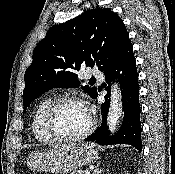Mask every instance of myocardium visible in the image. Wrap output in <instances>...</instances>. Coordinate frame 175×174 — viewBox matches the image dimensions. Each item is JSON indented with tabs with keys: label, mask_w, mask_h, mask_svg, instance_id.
<instances>
[{
	"label": "myocardium",
	"mask_w": 175,
	"mask_h": 174,
	"mask_svg": "<svg viewBox=\"0 0 175 174\" xmlns=\"http://www.w3.org/2000/svg\"><path fill=\"white\" fill-rule=\"evenodd\" d=\"M71 103L80 104L83 107H85V109L87 110L89 114V124L83 132L77 135L67 136V135L61 134L57 130L56 125H55V119H56V116L59 110L65 105L71 104ZM44 123H45L46 131L54 140L62 141V142H74V141L82 140L86 138L89 134L92 133L96 125V118L91 110L90 105L87 103V101H85L83 98L78 97V96H67V97L56 100L50 106V108L48 109L45 115Z\"/></svg>",
	"instance_id": "myocardium-1"
}]
</instances>
